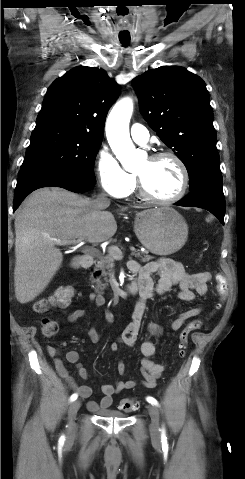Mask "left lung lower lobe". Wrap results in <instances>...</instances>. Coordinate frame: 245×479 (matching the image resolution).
Masks as SVG:
<instances>
[{
  "label": "left lung lower lobe",
  "instance_id": "obj_1",
  "mask_svg": "<svg viewBox=\"0 0 245 479\" xmlns=\"http://www.w3.org/2000/svg\"><path fill=\"white\" fill-rule=\"evenodd\" d=\"M184 207H199L210 211L224 224L225 198L222 189L221 173L199 181L188 196L175 203Z\"/></svg>",
  "mask_w": 245,
  "mask_h": 479
}]
</instances>
